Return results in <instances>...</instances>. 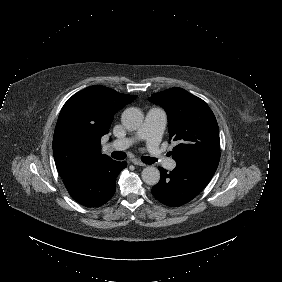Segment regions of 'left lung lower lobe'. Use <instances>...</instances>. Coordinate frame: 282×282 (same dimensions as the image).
I'll list each match as a JSON object with an SVG mask.
<instances>
[{
	"mask_svg": "<svg viewBox=\"0 0 282 282\" xmlns=\"http://www.w3.org/2000/svg\"><path fill=\"white\" fill-rule=\"evenodd\" d=\"M218 163L207 159L187 160L177 163L170 173L159 167L161 178L152 188V194L167 206L184 205L205 188L214 175Z\"/></svg>",
	"mask_w": 282,
	"mask_h": 282,
	"instance_id": "obj_1",
	"label": "left lung lower lobe"
}]
</instances>
